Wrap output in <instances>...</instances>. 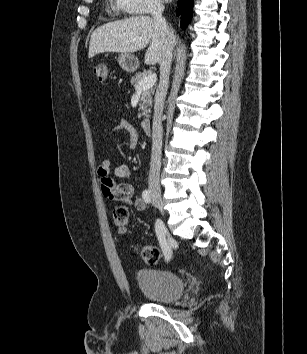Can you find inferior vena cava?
I'll list each match as a JSON object with an SVG mask.
<instances>
[{
    "mask_svg": "<svg viewBox=\"0 0 307 354\" xmlns=\"http://www.w3.org/2000/svg\"><path fill=\"white\" fill-rule=\"evenodd\" d=\"M163 5L157 3L151 8V16L158 27L163 42V55L160 61V82L155 95V107L152 125V153L149 171V191L160 193V168L162 154V114L164 101L167 95L170 68L172 62V50L174 46V35L169 30L166 20L163 18Z\"/></svg>",
    "mask_w": 307,
    "mask_h": 354,
    "instance_id": "obj_1",
    "label": "inferior vena cava"
}]
</instances>
